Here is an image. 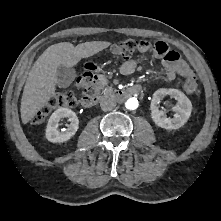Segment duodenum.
Returning <instances> with one entry per match:
<instances>
[{"label":"duodenum","mask_w":221,"mask_h":221,"mask_svg":"<svg viewBox=\"0 0 221 221\" xmlns=\"http://www.w3.org/2000/svg\"><path fill=\"white\" fill-rule=\"evenodd\" d=\"M92 70H94V68H91V72H93ZM140 91H141V88L137 85H134L124 90L113 91L111 92V96L121 101L133 95L139 94ZM99 98H100L99 95H96V94L86 95L82 99V105L85 107H91L98 102Z\"/></svg>","instance_id":"duodenum-1"}]
</instances>
